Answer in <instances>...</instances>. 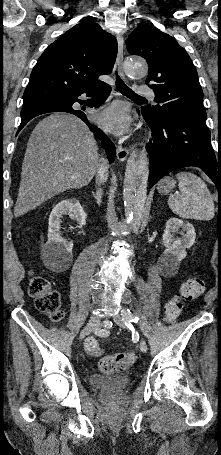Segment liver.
Masks as SVG:
<instances>
[{
	"label": "liver",
	"instance_id": "1",
	"mask_svg": "<svg viewBox=\"0 0 221 455\" xmlns=\"http://www.w3.org/2000/svg\"><path fill=\"white\" fill-rule=\"evenodd\" d=\"M97 150L93 134L78 117L55 113L41 120L27 143L15 217L89 184L105 163Z\"/></svg>",
	"mask_w": 221,
	"mask_h": 455
}]
</instances>
